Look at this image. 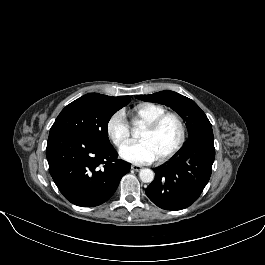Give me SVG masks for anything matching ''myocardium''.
I'll use <instances>...</instances> for the list:
<instances>
[{
  "label": "myocardium",
  "instance_id": "myocardium-1",
  "mask_svg": "<svg viewBox=\"0 0 265 265\" xmlns=\"http://www.w3.org/2000/svg\"><path fill=\"white\" fill-rule=\"evenodd\" d=\"M168 118H174L178 122L180 127V137L177 143L170 150H168L167 152H165L164 154H162L157 158L159 161L166 160L172 157L174 154H176L183 147L187 138L186 123L183 117L176 112H166L160 115L156 119L144 125V129L148 131H155Z\"/></svg>",
  "mask_w": 265,
  "mask_h": 265
}]
</instances>
